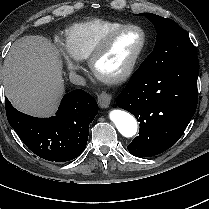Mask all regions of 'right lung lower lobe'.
Returning <instances> with one entry per match:
<instances>
[{
    "label": "right lung lower lobe",
    "instance_id": "1",
    "mask_svg": "<svg viewBox=\"0 0 209 209\" xmlns=\"http://www.w3.org/2000/svg\"><path fill=\"white\" fill-rule=\"evenodd\" d=\"M9 124L37 156L52 162L77 158L85 149L89 124L98 113L96 100L77 89L64 95L56 115L36 118L26 115L5 98Z\"/></svg>",
    "mask_w": 209,
    "mask_h": 209
}]
</instances>
